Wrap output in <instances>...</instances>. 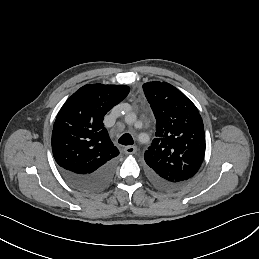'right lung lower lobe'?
<instances>
[{
    "label": "right lung lower lobe",
    "instance_id": "right-lung-lower-lobe-1",
    "mask_svg": "<svg viewBox=\"0 0 259 259\" xmlns=\"http://www.w3.org/2000/svg\"><path fill=\"white\" fill-rule=\"evenodd\" d=\"M115 166L116 160L113 159L91 173L78 174L63 168H60V171L64 178L76 188L84 191H95L110 181Z\"/></svg>",
    "mask_w": 259,
    "mask_h": 259
}]
</instances>
